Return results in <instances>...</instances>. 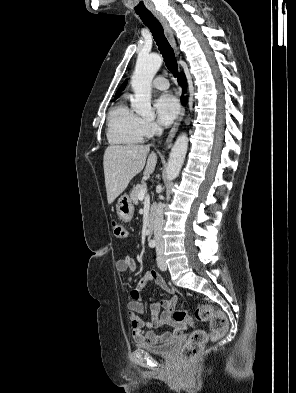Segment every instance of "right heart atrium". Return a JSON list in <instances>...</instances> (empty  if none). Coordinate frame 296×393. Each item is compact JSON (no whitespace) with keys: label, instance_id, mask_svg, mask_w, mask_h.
I'll use <instances>...</instances> for the list:
<instances>
[{"label":"right heart atrium","instance_id":"obj_1","mask_svg":"<svg viewBox=\"0 0 296 393\" xmlns=\"http://www.w3.org/2000/svg\"><path fill=\"white\" fill-rule=\"evenodd\" d=\"M160 132V127L154 121H143V137L150 138Z\"/></svg>","mask_w":296,"mask_h":393}]
</instances>
